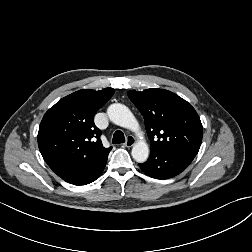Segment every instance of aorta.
<instances>
[{
    "label": "aorta",
    "mask_w": 252,
    "mask_h": 252,
    "mask_svg": "<svg viewBox=\"0 0 252 252\" xmlns=\"http://www.w3.org/2000/svg\"><path fill=\"white\" fill-rule=\"evenodd\" d=\"M107 114L109 119L116 125L130 129L134 132L139 130V124L132 112L123 104L115 103L108 107ZM135 161L143 163L148 159L149 147L143 140L137 142L131 152Z\"/></svg>",
    "instance_id": "obj_1"
}]
</instances>
